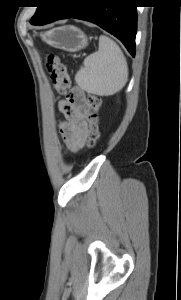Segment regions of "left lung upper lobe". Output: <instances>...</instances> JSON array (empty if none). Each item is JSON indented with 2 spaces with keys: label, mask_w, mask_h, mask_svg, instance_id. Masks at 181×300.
<instances>
[{
  "label": "left lung upper lobe",
  "mask_w": 181,
  "mask_h": 300,
  "mask_svg": "<svg viewBox=\"0 0 181 300\" xmlns=\"http://www.w3.org/2000/svg\"><path fill=\"white\" fill-rule=\"evenodd\" d=\"M34 2L39 4V7H37L36 13L31 18L30 22L33 25H39L51 12L56 3V0H37Z\"/></svg>",
  "instance_id": "left-lung-upper-lobe-1"
}]
</instances>
